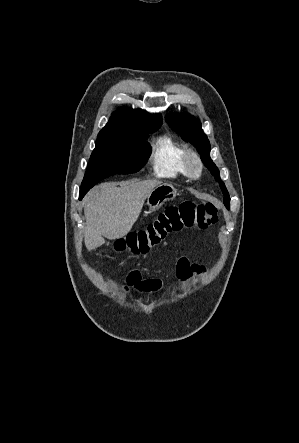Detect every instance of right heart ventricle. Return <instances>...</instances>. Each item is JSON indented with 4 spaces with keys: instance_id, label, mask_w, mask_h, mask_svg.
<instances>
[{
    "instance_id": "right-heart-ventricle-1",
    "label": "right heart ventricle",
    "mask_w": 299,
    "mask_h": 443,
    "mask_svg": "<svg viewBox=\"0 0 299 443\" xmlns=\"http://www.w3.org/2000/svg\"><path fill=\"white\" fill-rule=\"evenodd\" d=\"M186 147L170 135L159 137L153 144L151 167L160 177L178 178L186 176L183 157Z\"/></svg>"
}]
</instances>
